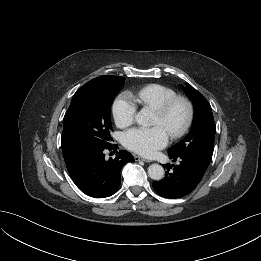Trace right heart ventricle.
Returning a JSON list of instances; mask_svg holds the SVG:
<instances>
[{
    "mask_svg": "<svg viewBox=\"0 0 261 261\" xmlns=\"http://www.w3.org/2000/svg\"><path fill=\"white\" fill-rule=\"evenodd\" d=\"M176 91L161 84H148L133 93L139 104L153 110L161 107L166 101L175 97Z\"/></svg>",
    "mask_w": 261,
    "mask_h": 261,
    "instance_id": "obj_1",
    "label": "right heart ventricle"
}]
</instances>
